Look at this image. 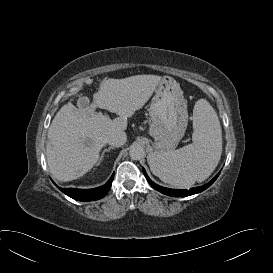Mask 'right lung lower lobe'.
I'll list each match as a JSON object with an SVG mask.
<instances>
[{
  "instance_id": "98d812e1",
  "label": "right lung lower lobe",
  "mask_w": 273,
  "mask_h": 273,
  "mask_svg": "<svg viewBox=\"0 0 273 273\" xmlns=\"http://www.w3.org/2000/svg\"><path fill=\"white\" fill-rule=\"evenodd\" d=\"M113 178L114 174L105 185L94 189L58 188L72 199L78 201L99 200L108 193L112 185Z\"/></svg>"
}]
</instances>
